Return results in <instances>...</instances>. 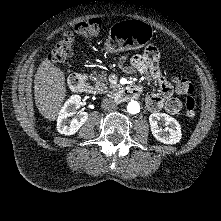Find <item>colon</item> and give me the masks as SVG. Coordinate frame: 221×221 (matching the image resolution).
<instances>
[{
    "label": "colon",
    "mask_w": 221,
    "mask_h": 221,
    "mask_svg": "<svg viewBox=\"0 0 221 221\" xmlns=\"http://www.w3.org/2000/svg\"><path fill=\"white\" fill-rule=\"evenodd\" d=\"M102 21L99 18H90L78 23L74 31L66 32L61 40L55 45L49 55V60L52 63H64L73 55V49L77 41L87 40L97 37L100 34ZM147 55L154 62L158 59L159 53L156 48H151ZM176 88L180 94L185 96V114L192 118L196 114L197 99L194 95V87L190 81L181 76L175 77Z\"/></svg>",
    "instance_id": "5ec220e1"
}]
</instances>
